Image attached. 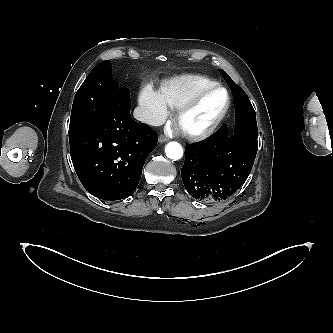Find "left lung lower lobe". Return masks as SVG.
Listing matches in <instances>:
<instances>
[{"label":"left lung lower lobe","mask_w":333,"mask_h":333,"mask_svg":"<svg viewBox=\"0 0 333 333\" xmlns=\"http://www.w3.org/2000/svg\"><path fill=\"white\" fill-rule=\"evenodd\" d=\"M256 153L255 138L248 131L235 124L234 135L228 136L222 126L205 140L187 145L181 168L186 190L200 201L226 200L248 177Z\"/></svg>","instance_id":"1"}]
</instances>
